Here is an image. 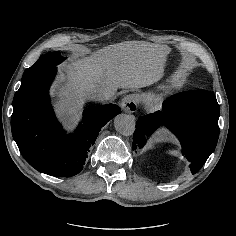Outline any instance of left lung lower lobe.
Instances as JSON below:
<instances>
[{
    "label": "left lung lower lobe",
    "instance_id": "obj_1",
    "mask_svg": "<svg viewBox=\"0 0 236 236\" xmlns=\"http://www.w3.org/2000/svg\"><path fill=\"white\" fill-rule=\"evenodd\" d=\"M219 104L216 96L206 90L175 94L163 103V111L142 116L136 123L133 150L141 149L160 125L177 135L182 154L191 163L192 174L198 172L214 151L218 137Z\"/></svg>",
    "mask_w": 236,
    "mask_h": 236
}]
</instances>
